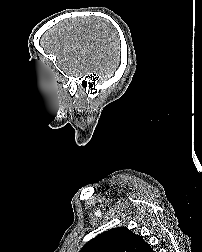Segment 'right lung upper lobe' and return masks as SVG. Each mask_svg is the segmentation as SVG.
<instances>
[{
	"label": "right lung upper lobe",
	"instance_id": "1",
	"mask_svg": "<svg viewBox=\"0 0 202 252\" xmlns=\"http://www.w3.org/2000/svg\"><path fill=\"white\" fill-rule=\"evenodd\" d=\"M80 252H154L143 238L126 227L113 228L90 240Z\"/></svg>",
	"mask_w": 202,
	"mask_h": 252
}]
</instances>
